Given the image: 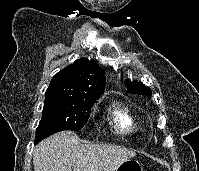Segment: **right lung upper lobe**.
I'll list each match as a JSON object with an SVG mask.
<instances>
[{
	"instance_id": "right-lung-upper-lobe-1",
	"label": "right lung upper lobe",
	"mask_w": 199,
	"mask_h": 171,
	"mask_svg": "<svg viewBox=\"0 0 199 171\" xmlns=\"http://www.w3.org/2000/svg\"><path fill=\"white\" fill-rule=\"evenodd\" d=\"M105 84L98 63L82 58L55 74L46 93L76 100L97 99L103 94Z\"/></svg>"
}]
</instances>
